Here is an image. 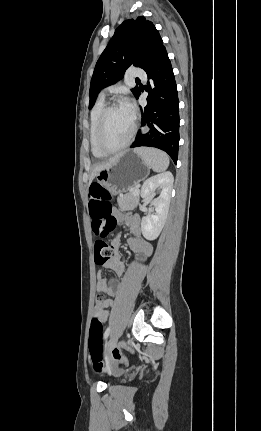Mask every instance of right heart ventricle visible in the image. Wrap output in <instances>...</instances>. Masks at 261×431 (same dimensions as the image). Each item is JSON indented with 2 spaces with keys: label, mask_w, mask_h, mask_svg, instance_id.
I'll return each mask as SVG.
<instances>
[{
  "label": "right heart ventricle",
  "mask_w": 261,
  "mask_h": 431,
  "mask_svg": "<svg viewBox=\"0 0 261 431\" xmlns=\"http://www.w3.org/2000/svg\"><path fill=\"white\" fill-rule=\"evenodd\" d=\"M104 107H105L104 97L101 96L95 103L90 115L89 143H90L91 152L93 156L96 158H104L106 156L98 149L96 144V131L98 126L99 116Z\"/></svg>",
  "instance_id": "right-heart-ventricle-1"
}]
</instances>
